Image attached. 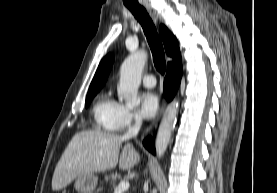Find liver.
<instances>
[{"label": "liver", "instance_id": "6515ba94", "mask_svg": "<svg viewBox=\"0 0 277 193\" xmlns=\"http://www.w3.org/2000/svg\"><path fill=\"white\" fill-rule=\"evenodd\" d=\"M127 140L100 130L75 134L55 168L52 189L59 191L80 175L109 170L118 162L121 169H130L140 161V155L126 143L119 158L121 144Z\"/></svg>", "mask_w": 277, "mask_h": 193}]
</instances>
